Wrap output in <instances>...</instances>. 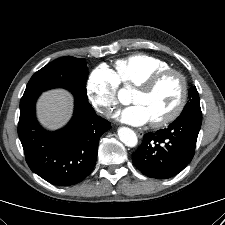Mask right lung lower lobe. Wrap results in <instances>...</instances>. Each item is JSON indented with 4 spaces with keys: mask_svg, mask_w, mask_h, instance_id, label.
<instances>
[{
    "mask_svg": "<svg viewBox=\"0 0 225 225\" xmlns=\"http://www.w3.org/2000/svg\"><path fill=\"white\" fill-rule=\"evenodd\" d=\"M39 95H23L20 101L18 135L27 164L51 184L74 185L94 168L99 139L111 124L97 116L88 102L75 98L74 115L68 125L48 132L35 117V102Z\"/></svg>",
    "mask_w": 225,
    "mask_h": 225,
    "instance_id": "right-lung-lower-lobe-1",
    "label": "right lung lower lobe"
}]
</instances>
